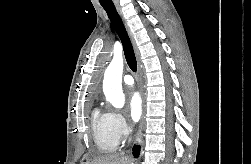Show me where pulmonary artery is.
I'll list each match as a JSON object with an SVG mask.
<instances>
[{
	"label": "pulmonary artery",
	"mask_w": 251,
	"mask_h": 164,
	"mask_svg": "<svg viewBox=\"0 0 251 164\" xmlns=\"http://www.w3.org/2000/svg\"><path fill=\"white\" fill-rule=\"evenodd\" d=\"M123 82L126 84V85H129V86H132L134 84V80H133V77L129 74L125 75L123 77Z\"/></svg>",
	"instance_id": "1"
}]
</instances>
